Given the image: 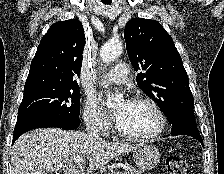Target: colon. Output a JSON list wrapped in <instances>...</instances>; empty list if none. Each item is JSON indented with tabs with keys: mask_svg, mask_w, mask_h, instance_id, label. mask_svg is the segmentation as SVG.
<instances>
[{
	"mask_svg": "<svg viewBox=\"0 0 224 174\" xmlns=\"http://www.w3.org/2000/svg\"><path fill=\"white\" fill-rule=\"evenodd\" d=\"M166 167L169 174H186L187 170L186 163L177 155H171L166 158Z\"/></svg>",
	"mask_w": 224,
	"mask_h": 174,
	"instance_id": "obj_1",
	"label": "colon"
}]
</instances>
